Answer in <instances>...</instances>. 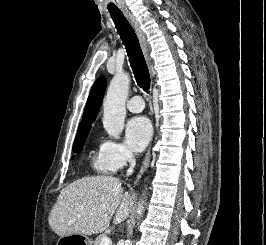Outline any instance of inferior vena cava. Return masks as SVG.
I'll list each match as a JSON object with an SVG mask.
<instances>
[{
  "mask_svg": "<svg viewBox=\"0 0 266 245\" xmlns=\"http://www.w3.org/2000/svg\"><path fill=\"white\" fill-rule=\"evenodd\" d=\"M127 161H128V163H130V167L127 171V175H132V173L134 171V167L136 165V159H135L133 153H128Z\"/></svg>",
  "mask_w": 266,
  "mask_h": 245,
  "instance_id": "602c4592",
  "label": "inferior vena cava"
}]
</instances>
